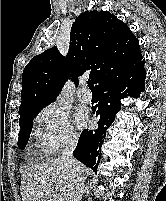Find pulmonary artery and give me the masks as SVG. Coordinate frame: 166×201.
<instances>
[{
	"mask_svg": "<svg viewBox=\"0 0 166 201\" xmlns=\"http://www.w3.org/2000/svg\"><path fill=\"white\" fill-rule=\"evenodd\" d=\"M78 98L85 103H89L92 100V94L90 90L86 87L85 83H82V86L78 91Z\"/></svg>",
	"mask_w": 166,
	"mask_h": 201,
	"instance_id": "pulmonary-artery-1",
	"label": "pulmonary artery"
}]
</instances>
